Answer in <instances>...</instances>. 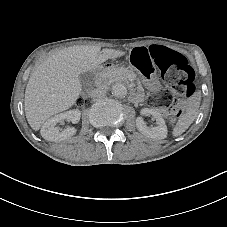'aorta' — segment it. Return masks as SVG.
<instances>
[{"mask_svg":"<svg viewBox=\"0 0 227 227\" xmlns=\"http://www.w3.org/2000/svg\"><path fill=\"white\" fill-rule=\"evenodd\" d=\"M112 94L116 97H125L127 94V87L123 83H115L112 86Z\"/></svg>","mask_w":227,"mask_h":227,"instance_id":"obj_1","label":"aorta"}]
</instances>
